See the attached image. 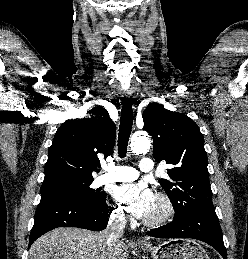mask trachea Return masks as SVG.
Here are the masks:
<instances>
[{
  "label": "trachea",
  "instance_id": "obj_1",
  "mask_svg": "<svg viewBox=\"0 0 248 259\" xmlns=\"http://www.w3.org/2000/svg\"><path fill=\"white\" fill-rule=\"evenodd\" d=\"M132 124V106L130 101L126 99L123 102L121 110L120 128L118 133V153L120 157H124L126 155L128 141L132 130Z\"/></svg>",
  "mask_w": 248,
  "mask_h": 259
}]
</instances>
